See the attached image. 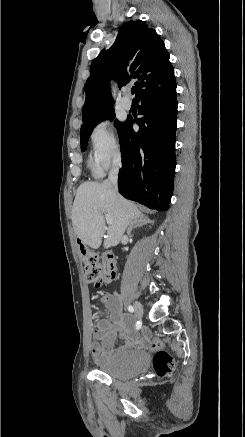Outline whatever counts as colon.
Wrapping results in <instances>:
<instances>
[{
    "label": "colon",
    "mask_w": 245,
    "mask_h": 437,
    "mask_svg": "<svg viewBox=\"0 0 245 437\" xmlns=\"http://www.w3.org/2000/svg\"><path fill=\"white\" fill-rule=\"evenodd\" d=\"M86 279L96 287L108 285L117 279V267L110 254H100L91 250L82 252ZM150 349L155 352L153 365L160 376L171 374L174 368L172 357L163 350V343L155 339L150 344Z\"/></svg>",
    "instance_id": "colon-1"
}]
</instances>
